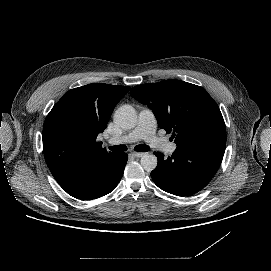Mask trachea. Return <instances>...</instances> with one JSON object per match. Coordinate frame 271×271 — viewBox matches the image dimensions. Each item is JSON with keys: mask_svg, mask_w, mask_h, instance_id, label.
<instances>
[{"mask_svg": "<svg viewBox=\"0 0 271 271\" xmlns=\"http://www.w3.org/2000/svg\"><path fill=\"white\" fill-rule=\"evenodd\" d=\"M109 149L113 152H123L127 150V147L125 145H116V146H111ZM134 150L137 152H146L149 150V147L144 144V145H136L134 147Z\"/></svg>", "mask_w": 271, "mask_h": 271, "instance_id": "obj_1", "label": "trachea"}]
</instances>
